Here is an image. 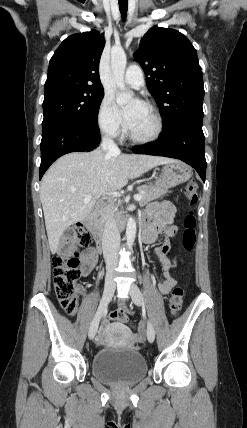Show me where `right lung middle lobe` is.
Returning a JSON list of instances; mask_svg holds the SVG:
<instances>
[{
  "instance_id": "obj_1",
  "label": "right lung middle lobe",
  "mask_w": 247,
  "mask_h": 428,
  "mask_svg": "<svg viewBox=\"0 0 247 428\" xmlns=\"http://www.w3.org/2000/svg\"><path fill=\"white\" fill-rule=\"evenodd\" d=\"M103 89L64 87L45 92L42 124L64 120L86 126H98Z\"/></svg>"
}]
</instances>
